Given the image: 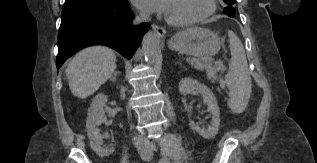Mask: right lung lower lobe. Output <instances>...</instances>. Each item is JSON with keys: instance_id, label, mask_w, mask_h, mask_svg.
Listing matches in <instances>:
<instances>
[{"instance_id": "1", "label": "right lung lower lobe", "mask_w": 317, "mask_h": 163, "mask_svg": "<svg viewBox=\"0 0 317 163\" xmlns=\"http://www.w3.org/2000/svg\"><path fill=\"white\" fill-rule=\"evenodd\" d=\"M133 17L130 5L125 0L62 18L57 41V68L77 51L97 44L107 45L131 58L150 27L148 23L132 26Z\"/></svg>"}]
</instances>
